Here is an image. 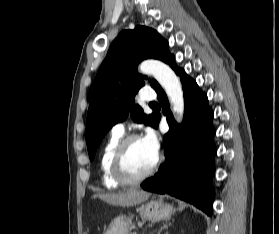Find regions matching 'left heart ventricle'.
Returning <instances> with one entry per match:
<instances>
[{"instance_id": "obj_1", "label": "left heart ventricle", "mask_w": 279, "mask_h": 234, "mask_svg": "<svg viewBox=\"0 0 279 234\" xmlns=\"http://www.w3.org/2000/svg\"><path fill=\"white\" fill-rule=\"evenodd\" d=\"M155 154L142 139L132 142L125 157V168L130 175L137 176L146 172L154 163Z\"/></svg>"}]
</instances>
